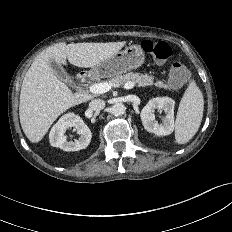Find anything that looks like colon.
I'll return each mask as SVG.
<instances>
[{
  "label": "colon",
  "mask_w": 232,
  "mask_h": 232,
  "mask_svg": "<svg viewBox=\"0 0 232 232\" xmlns=\"http://www.w3.org/2000/svg\"><path fill=\"white\" fill-rule=\"evenodd\" d=\"M143 50L157 61H166L172 55L171 46L164 41L144 40ZM190 79V73L186 66L179 62L172 64L169 72L170 83L175 87L185 85Z\"/></svg>",
  "instance_id": "obj_1"
}]
</instances>
